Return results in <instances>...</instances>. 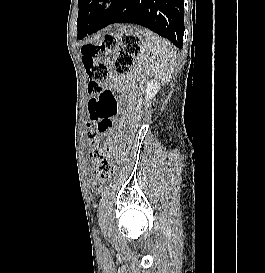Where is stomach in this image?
Segmentation results:
<instances>
[{
    "label": "stomach",
    "instance_id": "0dacf381",
    "mask_svg": "<svg viewBox=\"0 0 265 273\" xmlns=\"http://www.w3.org/2000/svg\"><path fill=\"white\" fill-rule=\"evenodd\" d=\"M141 25H112V30H129L133 33V30H141Z\"/></svg>",
    "mask_w": 265,
    "mask_h": 273
}]
</instances>
